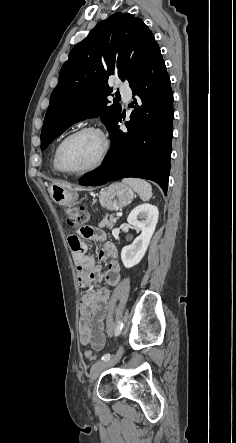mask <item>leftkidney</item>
I'll return each instance as SVG.
<instances>
[{
  "label": "left kidney",
  "mask_w": 236,
  "mask_h": 443,
  "mask_svg": "<svg viewBox=\"0 0 236 443\" xmlns=\"http://www.w3.org/2000/svg\"><path fill=\"white\" fill-rule=\"evenodd\" d=\"M158 216V208L148 203L138 205L129 214L127 222L141 230V234L121 251V260L126 268L137 265L144 257L155 231Z\"/></svg>",
  "instance_id": "1"
}]
</instances>
